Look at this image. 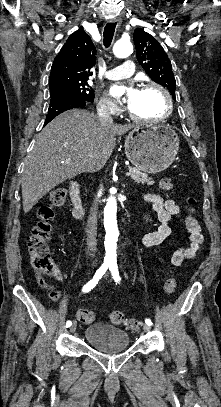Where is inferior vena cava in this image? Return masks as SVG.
<instances>
[{
  "instance_id": "1",
  "label": "inferior vena cava",
  "mask_w": 221,
  "mask_h": 407,
  "mask_svg": "<svg viewBox=\"0 0 221 407\" xmlns=\"http://www.w3.org/2000/svg\"><path fill=\"white\" fill-rule=\"evenodd\" d=\"M98 119L100 123L104 126L106 125H112L113 124V118L110 115L109 108L106 105H101L98 107ZM101 169V166H97V170L99 171ZM96 208L93 206L90 210V214L87 219V228H86V241H87V253L89 254L90 257H95V252H96Z\"/></svg>"
}]
</instances>
